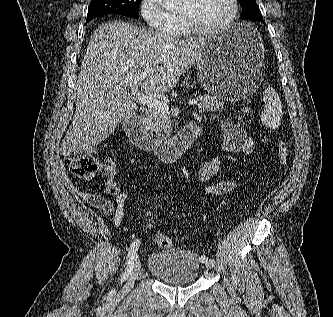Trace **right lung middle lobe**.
Instances as JSON below:
<instances>
[{"label":"right lung middle lobe","instance_id":"right-lung-middle-lobe-1","mask_svg":"<svg viewBox=\"0 0 333 317\" xmlns=\"http://www.w3.org/2000/svg\"><path fill=\"white\" fill-rule=\"evenodd\" d=\"M141 0H92L88 7L86 22L108 13L139 17Z\"/></svg>","mask_w":333,"mask_h":317}]
</instances>
